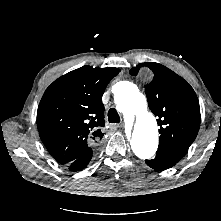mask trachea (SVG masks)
Listing matches in <instances>:
<instances>
[{"label":"trachea","instance_id":"trachea-1","mask_svg":"<svg viewBox=\"0 0 221 221\" xmlns=\"http://www.w3.org/2000/svg\"><path fill=\"white\" fill-rule=\"evenodd\" d=\"M108 120L110 123H119L120 122V116L116 109L111 108L108 111Z\"/></svg>","mask_w":221,"mask_h":221}]
</instances>
